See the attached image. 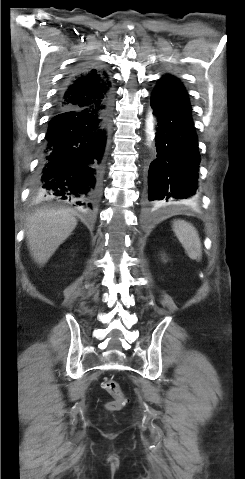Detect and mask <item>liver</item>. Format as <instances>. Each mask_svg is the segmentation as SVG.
Wrapping results in <instances>:
<instances>
[{"label": "liver", "mask_w": 245, "mask_h": 479, "mask_svg": "<svg viewBox=\"0 0 245 479\" xmlns=\"http://www.w3.org/2000/svg\"><path fill=\"white\" fill-rule=\"evenodd\" d=\"M76 225V217L66 209L39 210L30 216L26 223V237L34 261L39 265L46 264Z\"/></svg>", "instance_id": "obj_1"}]
</instances>
